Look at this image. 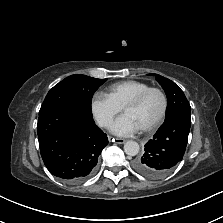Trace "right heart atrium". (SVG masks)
Here are the masks:
<instances>
[{"label":"right heart atrium","mask_w":223,"mask_h":223,"mask_svg":"<svg viewBox=\"0 0 223 223\" xmlns=\"http://www.w3.org/2000/svg\"><path fill=\"white\" fill-rule=\"evenodd\" d=\"M91 111L101 127H108L121 108L104 93H95L91 100Z\"/></svg>","instance_id":"obj_1"}]
</instances>
